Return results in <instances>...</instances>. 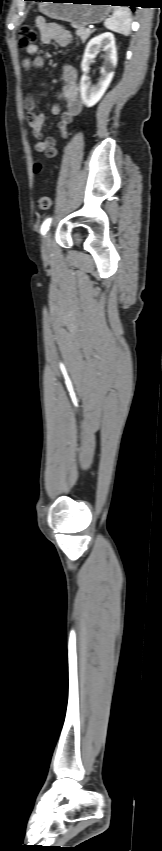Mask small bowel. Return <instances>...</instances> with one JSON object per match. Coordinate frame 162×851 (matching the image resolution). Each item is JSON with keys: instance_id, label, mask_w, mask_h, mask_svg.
Masks as SVG:
<instances>
[{"instance_id": "1", "label": "small bowel", "mask_w": 162, "mask_h": 851, "mask_svg": "<svg viewBox=\"0 0 162 851\" xmlns=\"http://www.w3.org/2000/svg\"><path fill=\"white\" fill-rule=\"evenodd\" d=\"M36 25L40 31L41 41L44 44L56 42L61 47H68L72 42L71 33L61 25L46 21L45 18L39 17L36 20ZM27 53L34 56L32 60H25L23 67L26 70L40 69L44 66L45 61L39 55V46L34 44L27 48ZM61 95L65 103L63 111L60 104L55 103L51 107V113L60 116L57 123L58 131L63 139L69 137V127L74 122V119L82 112L83 104L79 98L77 86L76 70L67 65L63 70V86ZM25 109L27 110L28 126L36 138L35 150L39 153H44L47 157L53 158L57 156L59 148L56 139L48 136L43 137L42 127L45 122L43 113L36 111V100L33 96L28 95L25 98Z\"/></svg>"}]
</instances>
